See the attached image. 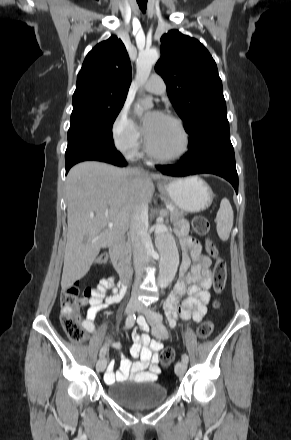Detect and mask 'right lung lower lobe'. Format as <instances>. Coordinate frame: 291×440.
Returning a JSON list of instances; mask_svg holds the SVG:
<instances>
[{"mask_svg":"<svg viewBox=\"0 0 291 440\" xmlns=\"http://www.w3.org/2000/svg\"><path fill=\"white\" fill-rule=\"evenodd\" d=\"M86 160L102 161L121 167L126 165L123 156L114 145L92 140L68 142L65 153L66 174L73 165Z\"/></svg>","mask_w":291,"mask_h":440,"instance_id":"1","label":"right lung lower lobe"}]
</instances>
